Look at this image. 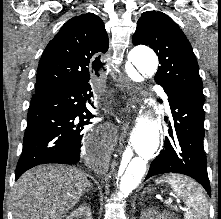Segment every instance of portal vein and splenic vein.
I'll list each match as a JSON object with an SVG mask.
<instances>
[{
  "label": "portal vein and splenic vein",
  "mask_w": 221,
  "mask_h": 219,
  "mask_svg": "<svg viewBox=\"0 0 221 219\" xmlns=\"http://www.w3.org/2000/svg\"><path fill=\"white\" fill-rule=\"evenodd\" d=\"M171 203H172V200H170V199L166 201V204H171ZM181 209H182L183 211H186V210H187V209L182 208V207H181Z\"/></svg>",
  "instance_id": "obj_1"
}]
</instances>
